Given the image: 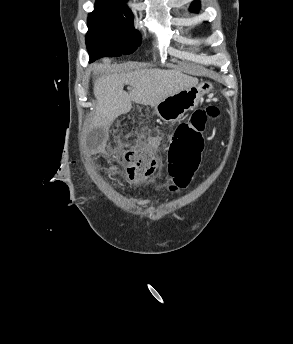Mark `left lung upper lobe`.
<instances>
[{"mask_svg":"<svg viewBox=\"0 0 293 344\" xmlns=\"http://www.w3.org/2000/svg\"><path fill=\"white\" fill-rule=\"evenodd\" d=\"M199 9H200V2L198 0L194 1L191 5L190 10L191 11H198Z\"/></svg>","mask_w":293,"mask_h":344,"instance_id":"obj_1","label":"left lung upper lobe"}]
</instances>
